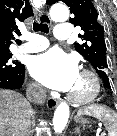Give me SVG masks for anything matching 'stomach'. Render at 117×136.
I'll list each match as a JSON object with an SVG mask.
<instances>
[{"mask_svg":"<svg viewBox=\"0 0 117 136\" xmlns=\"http://www.w3.org/2000/svg\"><path fill=\"white\" fill-rule=\"evenodd\" d=\"M76 122H77V123H82V124L87 123V121H86L85 119L81 118L80 116H77V117H76Z\"/></svg>","mask_w":117,"mask_h":136,"instance_id":"1","label":"stomach"}]
</instances>
